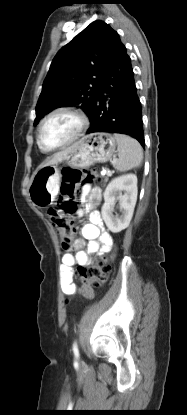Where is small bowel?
<instances>
[{
  "instance_id": "c3829d8e",
  "label": "small bowel",
  "mask_w": 187,
  "mask_h": 415,
  "mask_svg": "<svg viewBox=\"0 0 187 415\" xmlns=\"http://www.w3.org/2000/svg\"><path fill=\"white\" fill-rule=\"evenodd\" d=\"M81 199L85 206L79 210L78 215H89V222L81 228L80 235L69 246V251L62 256L60 266L61 290L65 295L76 293L73 281V267L88 266L91 255L99 256L107 253L114 245L112 236L104 229L101 214L97 206L102 202V191L99 187L88 185L81 188ZM75 252V254H73Z\"/></svg>"
}]
</instances>
